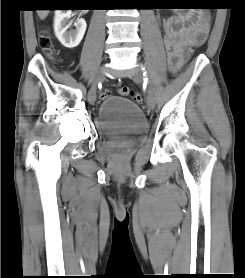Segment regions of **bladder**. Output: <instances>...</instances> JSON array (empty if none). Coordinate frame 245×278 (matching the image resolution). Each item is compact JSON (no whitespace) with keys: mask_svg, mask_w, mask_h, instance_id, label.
I'll return each instance as SVG.
<instances>
[{"mask_svg":"<svg viewBox=\"0 0 245 278\" xmlns=\"http://www.w3.org/2000/svg\"><path fill=\"white\" fill-rule=\"evenodd\" d=\"M97 123L106 137L136 135L147 128L142 109L121 96H109L101 102Z\"/></svg>","mask_w":245,"mask_h":278,"instance_id":"1","label":"bladder"}]
</instances>
